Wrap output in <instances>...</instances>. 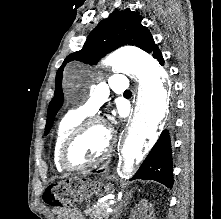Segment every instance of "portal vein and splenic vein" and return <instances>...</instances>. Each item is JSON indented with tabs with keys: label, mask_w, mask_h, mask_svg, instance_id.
<instances>
[{
	"label": "portal vein and splenic vein",
	"mask_w": 221,
	"mask_h": 219,
	"mask_svg": "<svg viewBox=\"0 0 221 219\" xmlns=\"http://www.w3.org/2000/svg\"><path fill=\"white\" fill-rule=\"evenodd\" d=\"M107 212L112 213L113 209L112 208H107Z\"/></svg>",
	"instance_id": "portal-vein-and-splenic-vein-1"
}]
</instances>
